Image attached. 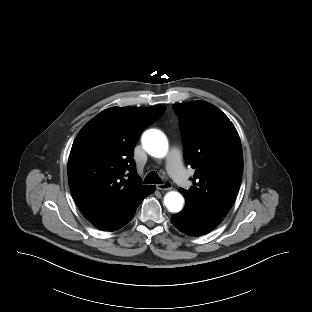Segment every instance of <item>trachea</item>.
Returning a JSON list of instances; mask_svg holds the SVG:
<instances>
[{"label": "trachea", "mask_w": 312, "mask_h": 312, "mask_svg": "<svg viewBox=\"0 0 312 312\" xmlns=\"http://www.w3.org/2000/svg\"><path fill=\"white\" fill-rule=\"evenodd\" d=\"M144 183H146V184H161L162 181L156 172L151 171L145 177Z\"/></svg>", "instance_id": "3493384b"}]
</instances>
